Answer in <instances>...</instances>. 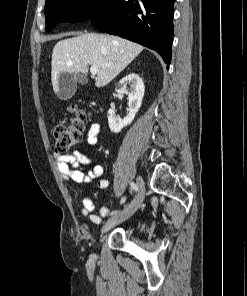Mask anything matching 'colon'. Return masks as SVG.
<instances>
[{"label":"colon","instance_id":"obj_1","mask_svg":"<svg viewBox=\"0 0 247 296\" xmlns=\"http://www.w3.org/2000/svg\"><path fill=\"white\" fill-rule=\"evenodd\" d=\"M87 119L88 114L79 107L73 105L68 109V117L52 129L55 152L65 153L79 143Z\"/></svg>","mask_w":247,"mask_h":296}]
</instances>
